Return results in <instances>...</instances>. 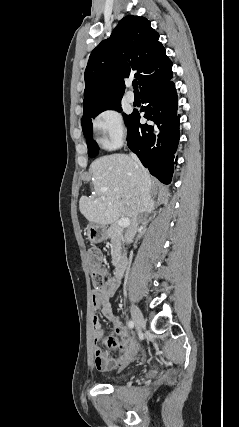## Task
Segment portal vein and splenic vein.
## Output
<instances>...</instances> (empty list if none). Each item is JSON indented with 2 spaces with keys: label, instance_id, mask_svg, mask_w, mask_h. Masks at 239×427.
Here are the masks:
<instances>
[{
  "label": "portal vein and splenic vein",
  "instance_id": "18ae733b",
  "mask_svg": "<svg viewBox=\"0 0 239 427\" xmlns=\"http://www.w3.org/2000/svg\"><path fill=\"white\" fill-rule=\"evenodd\" d=\"M117 225L120 227H127L130 225V219L127 217H123L117 221Z\"/></svg>",
  "mask_w": 239,
  "mask_h": 427
}]
</instances>
